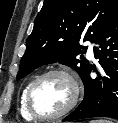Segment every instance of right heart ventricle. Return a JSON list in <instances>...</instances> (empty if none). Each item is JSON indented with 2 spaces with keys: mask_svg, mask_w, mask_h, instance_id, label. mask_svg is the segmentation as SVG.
I'll use <instances>...</instances> for the list:
<instances>
[{
  "mask_svg": "<svg viewBox=\"0 0 118 123\" xmlns=\"http://www.w3.org/2000/svg\"><path fill=\"white\" fill-rule=\"evenodd\" d=\"M32 81L33 80H30L23 87V89L21 91L20 99H19V112H20L21 116L28 121L34 120V118L29 114L27 107H26V94H27V90H28L30 84L32 83Z\"/></svg>",
  "mask_w": 118,
  "mask_h": 123,
  "instance_id": "obj_1",
  "label": "right heart ventricle"
}]
</instances>
